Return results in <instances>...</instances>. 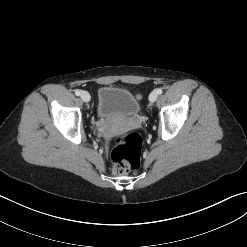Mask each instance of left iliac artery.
<instances>
[{"label":"left iliac artery","mask_w":247,"mask_h":247,"mask_svg":"<svg viewBox=\"0 0 247 247\" xmlns=\"http://www.w3.org/2000/svg\"><path fill=\"white\" fill-rule=\"evenodd\" d=\"M156 92H157L158 95H160V94H162L163 90H162V88H158V89L156 90Z\"/></svg>","instance_id":"1"}]
</instances>
